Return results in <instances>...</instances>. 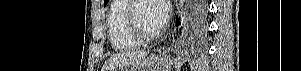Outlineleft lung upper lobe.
I'll list each match as a JSON object with an SVG mask.
<instances>
[{"instance_id":"5c2ea615","label":"left lung upper lobe","mask_w":301,"mask_h":71,"mask_svg":"<svg viewBox=\"0 0 301 71\" xmlns=\"http://www.w3.org/2000/svg\"><path fill=\"white\" fill-rule=\"evenodd\" d=\"M108 3V0H104V6H106V4ZM190 38L192 39V34L190 32Z\"/></svg>"}]
</instances>
